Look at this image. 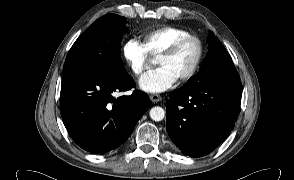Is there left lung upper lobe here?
I'll return each mask as SVG.
<instances>
[{"mask_svg":"<svg viewBox=\"0 0 294 180\" xmlns=\"http://www.w3.org/2000/svg\"><path fill=\"white\" fill-rule=\"evenodd\" d=\"M239 82L240 77L231 56L211 32L209 37V52L198 73L192 76L183 87L204 86L211 82Z\"/></svg>","mask_w":294,"mask_h":180,"instance_id":"1","label":"left lung upper lobe"}]
</instances>
